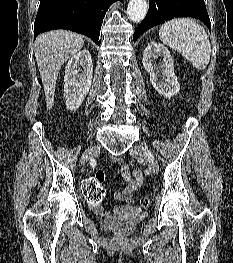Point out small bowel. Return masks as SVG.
<instances>
[{"label": "small bowel", "mask_w": 233, "mask_h": 263, "mask_svg": "<svg viewBox=\"0 0 233 263\" xmlns=\"http://www.w3.org/2000/svg\"><path fill=\"white\" fill-rule=\"evenodd\" d=\"M112 162L119 168L121 178L124 182V187L122 190H118L114 193V198L118 202L130 204L132 202L134 192L141 186L143 182L142 172L140 170L131 171L127 163L119 157H114ZM126 208V205L119 206L116 209V212L124 211ZM93 210L99 215L105 214L101 204L96 205Z\"/></svg>", "instance_id": "obj_1"}]
</instances>
